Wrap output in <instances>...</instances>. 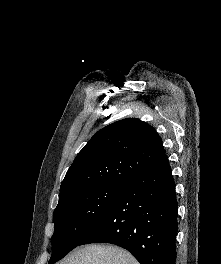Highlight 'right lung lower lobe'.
Returning <instances> with one entry per match:
<instances>
[{"label":"right lung lower lobe","mask_w":221,"mask_h":264,"mask_svg":"<svg viewBox=\"0 0 221 264\" xmlns=\"http://www.w3.org/2000/svg\"><path fill=\"white\" fill-rule=\"evenodd\" d=\"M178 204L167 164L129 180L100 224L81 242L111 243L141 264H175Z\"/></svg>","instance_id":"obj_1"}]
</instances>
